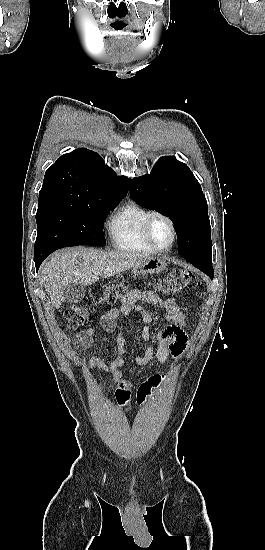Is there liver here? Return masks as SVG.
I'll return each mask as SVG.
<instances>
[{
    "label": "liver",
    "instance_id": "1",
    "mask_svg": "<svg viewBox=\"0 0 265 550\" xmlns=\"http://www.w3.org/2000/svg\"><path fill=\"white\" fill-rule=\"evenodd\" d=\"M148 257L85 247L62 249L44 262L41 282L52 305L58 309L64 301L63 290L67 284L92 285L99 281V276L111 277L135 267Z\"/></svg>",
    "mask_w": 265,
    "mask_h": 550
}]
</instances>
